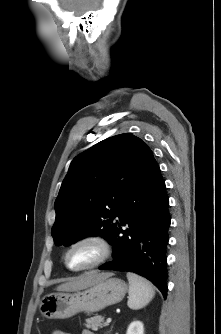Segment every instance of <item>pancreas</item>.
<instances>
[{
	"mask_svg": "<svg viewBox=\"0 0 221 334\" xmlns=\"http://www.w3.org/2000/svg\"><path fill=\"white\" fill-rule=\"evenodd\" d=\"M108 324L104 322V317L101 315H96L94 317L86 319V328L92 329L94 331L107 326Z\"/></svg>",
	"mask_w": 221,
	"mask_h": 334,
	"instance_id": "1",
	"label": "pancreas"
}]
</instances>
